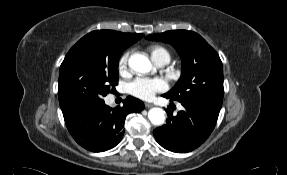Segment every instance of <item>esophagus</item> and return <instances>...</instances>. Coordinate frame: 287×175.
I'll return each instance as SVG.
<instances>
[{
  "instance_id": "34e87169",
  "label": "esophagus",
  "mask_w": 287,
  "mask_h": 175,
  "mask_svg": "<svg viewBox=\"0 0 287 175\" xmlns=\"http://www.w3.org/2000/svg\"><path fill=\"white\" fill-rule=\"evenodd\" d=\"M154 105L152 104V103H148V102H146L145 103V107L146 108H151V107H153Z\"/></svg>"
}]
</instances>
